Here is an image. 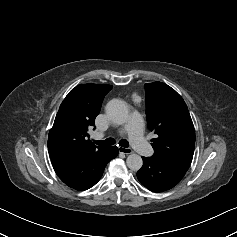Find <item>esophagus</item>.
Wrapping results in <instances>:
<instances>
[{"instance_id":"1","label":"esophagus","mask_w":237,"mask_h":237,"mask_svg":"<svg viewBox=\"0 0 237 237\" xmlns=\"http://www.w3.org/2000/svg\"><path fill=\"white\" fill-rule=\"evenodd\" d=\"M118 150H119L120 153H123V154H126V155H129V154L133 153L132 149L126 148V147H119Z\"/></svg>"}]
</instances>
